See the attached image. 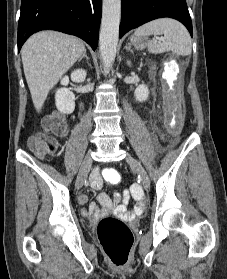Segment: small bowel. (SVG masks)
<instances>
[{
    "instance_id": "obj_1",
    "label": "small bowel",
    "mask_w": 227,
    "mask_h": 279,
    "mask_svg": "<svg viewBox=\"0 0 227 279\" xmlns=\"http://www.w3.org/2000/svg\"><path fill=\"white\" fill-rule=\"evenodd\" d=\"M114 170L113 168H105L102 170H96L94 171L90 178H89V185L93 189L101 190L103 181L105 179V173L108 171ZM131 192L134 194H139L141 192L140 187L137 184H134L131 186ZM120 193H115L112 198H110L105 193L99 194V201L101 205L105 208V210H111L116 209L120 214H129L127 211V201L119 204L120 202ZM79 203L84 205L87 202V197L85 195H81L79 197ZM145 207V203L139 202L137 204V210L141 211ZM83 215H95L99 212V208L96 204H91L88 207H83L81 209Z\"/></svg>"
}]
</instances>
